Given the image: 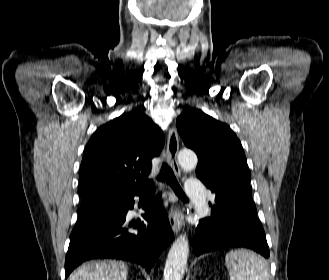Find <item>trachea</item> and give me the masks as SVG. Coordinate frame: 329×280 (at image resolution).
Wrapping results in <instances>:
<instances>
[{"instance_id":"1","label":"trachea","mask_w":329,"mask_h":280,"mask_svg":"<svg viewBox=\"0 0 329 280\" xmlns=\"http://www.w3.org/2000/svg\"><path fill=\"white\" fill-rule=\"evenodd\" d=\"M158 181L161 182H167L170 187L174 190L175 194L182 200L188 201V198L186 197L185 193L183 192L182 188L180 187L174 172L172 171L171 167L168 166V164L163 163L161 168V173L157 177Z\"/></svg>"}]
</instances>
